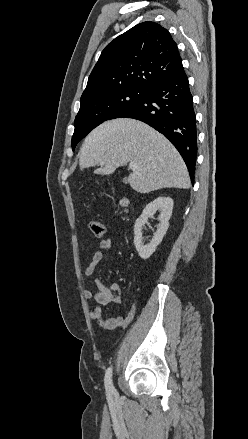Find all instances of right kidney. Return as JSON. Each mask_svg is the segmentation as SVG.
<instances>
[{"label": "right kidney", "instance_id": "right-kidney-1", "mask_svg": "<svg viewBox=\"0 0 248 439\" xmlns=\"http://www.w3.org/2000/svg\"><path fill=\"white\" fill-rule=\"evenodd\" d=\"M173 200L170 197H158L149 203L143 210L141 216L136 220L134 225V245L142 259H148L156 250L157 246L162 242L164 235L169 227V219L172 214ZM157 211L160 212L158 217L159 225L157 231L149 244L144 245L142 238L143 226L147 223L149 217L153 216Z\"/></svg>", "mask_w": 248, "mask_h": 439}]
</instances>
